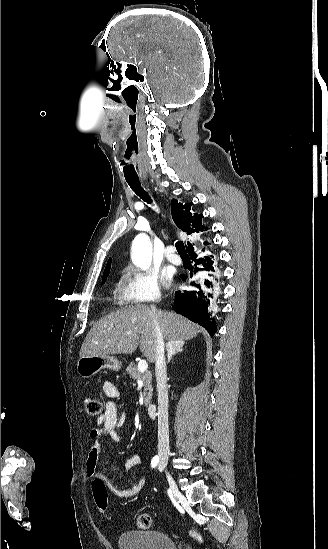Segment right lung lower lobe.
<instances>
[{"label":"right lung lower lobe","mask_w":328,"mask_h":549,"mask_svg":"<svg viewBox=\"0 0 328 549\" xmlns=\"http://www.w3.org/2000/svg\"><path fill=\"white\" fill-rule=\"evenodd\" d=\"M195 262V270L199 272V279L192 278L196 273L182 274V277L188 282L190 290L177 291L175 293L174 306L175 311L191 321L203 326L210 335L217 332L216 322L211 318L209 308L214 290V262L209 257L196 259V255L192 256ZM197 265H200L197 267Z\"/></svg>","instance_id":"1"}]
</instances>
